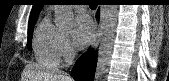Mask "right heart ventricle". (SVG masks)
Wrapping results in <instances>:
<instances>
[{
	"mask_svg": "<svg viewBox=\"0 0 169 81\" xmlns=\"http://www.w3.org/2000/svg\"><path fill=\"white\" fill-rule=\"evenodd\" d=\"M61 33L52 26L48 17L37 25L32 41L36 60L46 66L54 67L60 62L59 43Z\"/></svg>",
	"mask_w": 169,
	"mask_h": 81,
	"instance_id": "e07e8e85",
	"label": "right heart ventricle"
}]
</instances>
